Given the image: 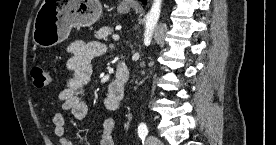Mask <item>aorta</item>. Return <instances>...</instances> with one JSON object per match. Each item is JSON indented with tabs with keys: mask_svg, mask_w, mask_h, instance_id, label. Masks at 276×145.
I'll use <instances>...</instances> for the list:
<instances>
[{
	"mask_svg": "<svg viewBox=\"0 0 276 145\" xmlns=\"http://www.w3.org/2000/svg\"><path fill=\"white\" fill-rule=\"evenodd\" d=\"M161 3H162V0H154L152 7L146 16V24H145V32H144L145 42L151 41L153 31L160 17Z\"/></svg>",
	"mask_w": 276,
	"mask_h": 145,
	"instance_id": "obj_1",
	"label": "aorta"
}]
</instances>
